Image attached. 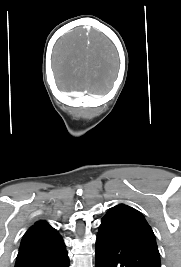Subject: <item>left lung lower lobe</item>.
<instances>
[{
  "instance_id": "obj_1",
  "label": "left lung lower lobe",
  "mask_w": 181,
  "mask_h": 267,
  "mask_svg": "<svg viewBox=\"0 0 181 267\" xmlns=\"http://www.w3.org/2000/svg\"><path fill=\"white\" fill-rule=\"evenodd\" d=\"M96 267H161L153 250L114 230L99 228Z\"/></svg>"
}]
</instances>
